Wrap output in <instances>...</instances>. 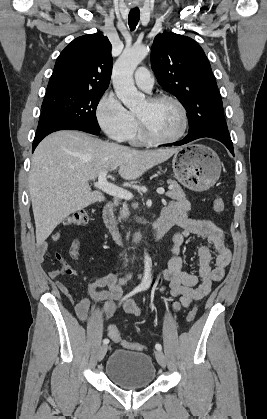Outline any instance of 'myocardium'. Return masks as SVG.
Here are the masks:
<instances>
[{
    "mask_svg": "<svg viewBox=\"0 0 267 419\" xmlns=\"http://www.w3.org/2000/svg\"><path fill=\"white\" fill-rule=\"evenodd\" d=\"M147 101L150 104H156L162 101H169V102L174 103L180 110L181 117H182V126H181L180 131L175 136L170 137V138H159L151 133V131L148 129L144 120L136 114V121L138 124V128L144 140H146L149 143L159 144V145L171 144V143H175L179 141L185 135L188 128V123H189L188 112L184 104L176 97L167 95V94L151 96L147 98Z\"/></svg>",
    "mask_w": 267,
    "mask_h": 419,
    "instance_id": "1",
    "label": "myocardium"
}]
</instances>
